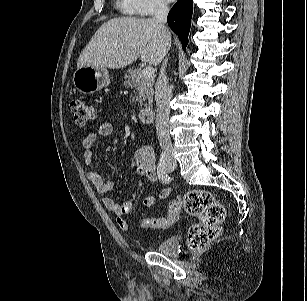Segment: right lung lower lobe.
I'll use <instances>...</instances> for the list:
<instances>
[{
  "instance_id": "obj_1",
  "label": "right lung lower lobe",
  "mask_w": 307,
  "mask_h": 301,
  "mask_svg": "<svg viewBox=\"0 0 307 301\" xmlns=\"http://www.w3.org/2000/svg\"><path fill=\"white\" fill-rule=\"evenodd\" d=\"M193 0H179L170 10L167 22L170 28L178 35L183 49L188 44V34L192 18Z\"/></svg>"
}]
</instances>
